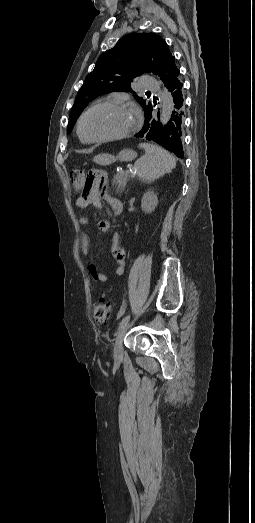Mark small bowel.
<instances>
[{"instance_id":"1","label":"small bowel","mask_w":255,"mask_h":523,"mask_svg":"<svg viewBox=\"0 0 255 523\" xmlns=\"http://www.w3.org/2000/svg\"><path fill=\"white\" fill-rule=\"evenodd\" d=\"M89 179L91 180V182H93L95 180L94 175L91 174ZM104 198L110 205L112 199H114L110 196H104ZM75 203L76 206L80 209L86 208L89 204H93L97 207L100 205V195H98L92 188H90L87 191V193L84 194L82 197L78 198ZM79 223L83 228H85L88 225L89 220L87 217L82 216L79 219ZM97 227L101 232H107L109 231L111 224L107 220H100L97 223ZM80 248L83 255L89 254V237L85 229H83L80 233ZM111 253L116 261V274L118 276H121L124 272L126 251L124 247L120 245L118 239L116 238L113 239ZM87 269L89 275L95 282L106 283L108 281V274L100 272L95 264L90 263Z\"/></svg>"}]
</instances>
